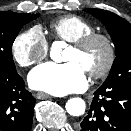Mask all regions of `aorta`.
Instances as JSON below:
<instances>
[{
  "label": "aorta",
  "mask_w": 131,
  "mask_h": 131,
  "mask_svg": "<svg viewBox=\"0 0 131 131\" xmlns=\"http://www.w3.org/2000/svg\"><path fill=\"white\" fill-rule=\"evenodd\" d=\"M61 48L58 43L52 45L50 56L56 60L60 56ZM66 110L71 116H81L85 113L86 104L83 99L79 97L71 98L66 102Z\"/></svg>",
  "instance_id": "1"
}]
</instances>
